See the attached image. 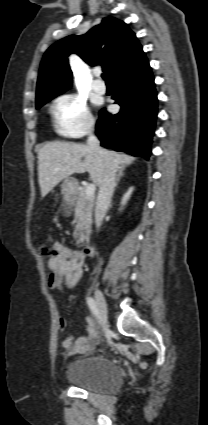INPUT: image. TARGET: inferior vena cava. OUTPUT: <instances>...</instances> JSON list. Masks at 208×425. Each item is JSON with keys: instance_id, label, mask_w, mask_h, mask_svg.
<instances>
[{"instance_id": "inferior-vena-cava-1", "label": "inferior vena cava", "mask_w": 208, "mask_h": 425, "mask_svg": "<svg viewBox=\"0 0 208 425\" xmlns=\"http://www.w3.org/2000/svg\"><path fill=\"white\" fill-rule=\"evenodd\" d=\"M87 145L92 151L97 152L104 159V169L102 179L99 184V192L95 208V224L96 227L99 228L111 204V198L113 196L116 185V172L118 169V163L111 153L100 148V142L93 134L92 127L89 128Z\"/></svg>"}]
</instances>
